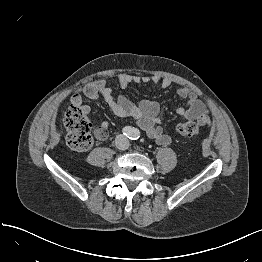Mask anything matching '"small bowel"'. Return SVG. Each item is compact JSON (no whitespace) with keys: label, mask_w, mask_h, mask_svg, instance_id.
Returning <instances> with one entry per match:
<instances>
[{"label":"small bowel","mask_w":262,"mask_h":262,"mask_svg":"<svg viewBox=\"0 0 262 262\" xmlns=\"http://www.w3.org/2000/svg\"><path fill=\"white\" fill-rule=\"evenodd\" d=\"M118 82L122 88H127L134 84H154L162 90L169 89L174 83L173 79L169 77L138 76L127 73H122ZM176 94L178 97L186 100L185 106L178 107L174 111L180 120L195 121L199 126H211L212 121L209 112L196 92L187 86H182L177 89ZM82 95L90 101L103 99L118 117L136 119L139 126L158 144L166 145L171 142V136L164 133L161 126L159 103L152 100H141L134 103L123 95L115 96L112 88L105 80L101 79L85 84L78 93L73 94L72 100L80 101ZM108 127L109 122L104 121L95 128L97 139H107Z\"/></svg>","instance_id":"c3829d8e"}]
</instances>
